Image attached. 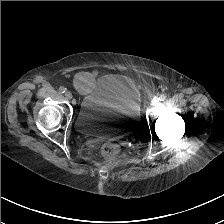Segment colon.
<instances>
[{"mask_svg": "<svg viewBox=\"0 0 224 224\" xmlns=\"http://www.w3.org/2000/svg\"><path fill=\"white\" fill-rule=\"evenodd\" d=\"M94 77L90 73H82L75 80V87L80 92H88L92 89ZM119 146L114 143H106L102 147V153L107 157H115L119 154Z\"/></svg>", "mask_w": 224, "mask_h": 224, "instance_id": "5ec220e1", "label": "colon"}]
</instances>
